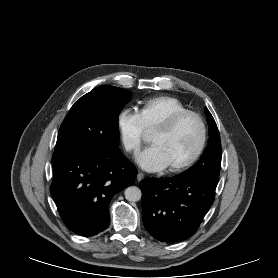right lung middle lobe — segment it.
Masks as SVG:
<instances>
[{
	"label": "right lung middle lobe",
	"mask_w": 278,
	"mask_h": 278,
	"mask_svg": "<svg viewBox=\"0 0 278 278\" xmlns=\"http://www.w3.org/2000/svg\"><path fill=\"white\" fill-rule=\"evenodd\" d=\"M131 94L114 86H99L82 96L64 119L53 157L101 147H119L118 116Z\"/></svg>",
	"instance_id": "1"
}]
</instances>
